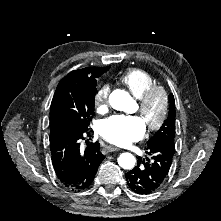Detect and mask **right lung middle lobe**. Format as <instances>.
Instances as JSON below:
<instances>
[{
    "label": "right lung middle lobe",
    "instance_id": "1",
    "mask_svg": "<svg viewBox=\"0 0 221 221\" xmlns=\"http://www.w3.org/2000/svg\"><path fill=\"white\" fill-rule=\"evenodd\" d=\"M109 68L110 66L105 67L93 79L75 77L58 84L50 108L53 115L50 138L67 130H88L94 112L96 78Z\"/></svg>",
    "mask_w": 221,
    "mask_h": 221
}]
</instances>
